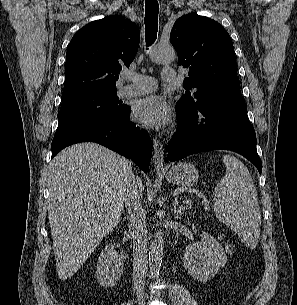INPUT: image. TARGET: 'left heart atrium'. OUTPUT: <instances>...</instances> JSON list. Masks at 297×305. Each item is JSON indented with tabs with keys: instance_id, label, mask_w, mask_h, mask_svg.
<instances>
[{
	"instance_id": "39dd6f15",
	"label": "left heart atrium",
	"mask_w": 297,
	"mask_h": 305,
	"mask_svg": "<svg viewBox=\"0 0 297 305\" xmlns=\"http://www.w3.org/2000/svg\"><path fill=\"white\" fill-rule=\"evenodd\" d=\"M133 113L137 121L156 129L167 126L171 120L168 104L158 95L139 100L134 106Z\"/></svg>"
}]
</instances>
